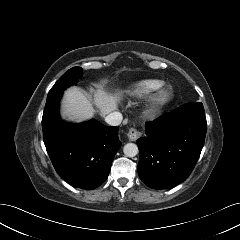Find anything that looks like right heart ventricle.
I'll use <instances>...</instances> for the list:
<instances>
[{
	"label": "right heart ventricle",
	"instance_id": "right-heart-ventricle-1",
	"mask_svg": "<svg viewBox=\"0 0 240 240\" xmlns=\"http://www.w3.org/2000/svg\"><path fill=\"white\" fill-rule=\"evenodd\" d=\"M162 85H163V82L161 80H156V79L141 80L133 84L129 92L133 96L143 97V96L150 95L151 93L159 89Z\"/></svg>",
	"mask_w": 240,
	"mask_h": 240
}]
</instances>
